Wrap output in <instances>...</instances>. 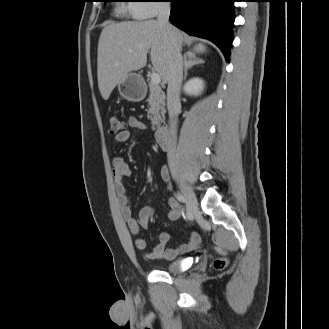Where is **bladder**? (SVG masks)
Returning a JSON list of instances; mask_svg holds the SVG:
<instances>
[{"label": "bladder", "instance_id": "1", "mask_svg": "<svg viewBox=\"0 0 329 329\" xmlns=\"http://www.w3.org/2000/svg\"><path fill=\"white\" fill-rule=\"evenodd\" d=\"M186 259H174L164 264L163 271L166 273H179L186 264Z\"/></svg>", "mask_w": 329, "mask_h": 329}]
</instances>
